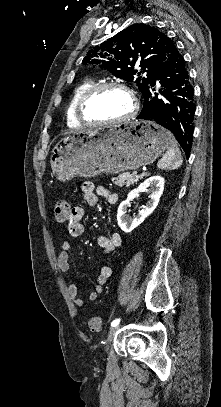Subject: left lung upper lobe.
Returning <instances> with one entry per match:
<instances>
[{"instance_id": "obj_1", "label": "left lung upper lobe", "mask_w": 221, "mask_h": 407, "mask_svg": "<svg viewBox=\"0 0 221 407\" xmlns=\"http://www.w3.org/2000/svg\"><path fill=\"white\" fill-rule=\"evenodd\" d=\"M172 41L159 29L133 24L91 49L83 64L91 63L126 81H134L144 95L160 65L169 56ZM139 65L141 71L134 70ZM146 72V76L134 75Z\"/></svg>"}]
</instances>
